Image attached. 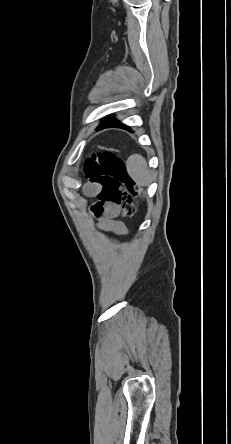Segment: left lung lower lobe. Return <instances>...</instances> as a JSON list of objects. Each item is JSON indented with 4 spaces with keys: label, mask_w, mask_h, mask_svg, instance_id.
Returning a JSON list of instances; mask_svg holds the SVG:
<instances>
[{
    "label": "left lung lower lobe",
    "mask_w": 231,
    "mask_h": 444,
    "mask_svg": "<svg viewBox=\"0 0 231 444\" xmlns=\"http://www.w3.org/2000/svg\"><path fill=\"white\" fill-rule=\"evenodd\" d=\"M105 127H119V128L129 130V127H127L125 125H120L118 121L113 120V119H105L103 121V123L98 127V129H103Z\"/></svg>",
    "instance_id": "left-lung-lower-lobe-1"
}]
</instances>
